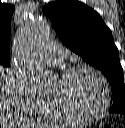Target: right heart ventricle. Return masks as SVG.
I'll use <instances>...</instances> for the list:
<instances>
[{
  "instance_id": "right-heart-ventricle-1",
  "label": "right heart ventricle",
  "mask_w": 125,
  "mask_h": 128,
  "mask_svg": "<svg viewBox=\"0 0 125 128\" xmlns=\"http://www.w3.org/2000/svg\"><path fill=\"white\" fill-rule=\"evenodd\" d=\"M39 114L44 117L51 118V119L60 118L59 115L55 112L52 104L49 101L43 106Z\"/></svg>"
}]
</instances>
